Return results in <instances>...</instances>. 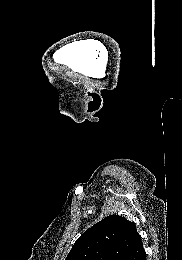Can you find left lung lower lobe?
Returning <instances> with one entry per match:
<instances>
[{
    "label": "left lung lower lobe",
    "instance_id": "0a47b994",
    "mask_svg": "<svg viewBox=\"0 0 182 260\" xmlns=\"http://www.w3.org/2000/svg\"><path fill=\"white\" fill-rule=\"evenodd\" d=\"M122 260H146V253L144 251L140 235L132 244Z\"/></svg>",
    "mask_w": 182,
    "mask_h": 260
}]
</instances>
